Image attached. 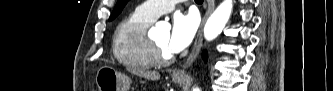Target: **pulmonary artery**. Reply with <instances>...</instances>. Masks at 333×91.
<instances>
[{"label":"pulmonary artery","instance_id":"pulmonary-artery-1","mask_svg":"<svg viewBox=\"0 0 333 91\" xmlns=\"http://www.w3.org/2000/svg\"><path fill=\"white\" fill-rule=\"evenodd\" d=\"M177 1H146L137 7L142 15L155 20L160 15L171 12Z\"/></svg>","mask_w":333,"mask_h":91}]
</instances>
